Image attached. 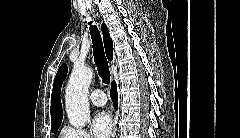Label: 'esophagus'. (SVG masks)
I'll list each match as a JSON object with an SVG mask.
<instances>
[{
  "mask_svg": "<svg viewBox=\"0 0 240 138\" xmlns=\"http://www.w3.org/2000/svg\"><path fill=\"white\" fill-rule=\"evenodd\" d=\"M116 123H117V120H116V118H115V121H114V134H115V131H116Z\"/></svg>",
  "mask_w": 240,
  "mask_h": 138,
  "instance_id": "obj_1",
  "label": "esophagus"
}]
</instances>
